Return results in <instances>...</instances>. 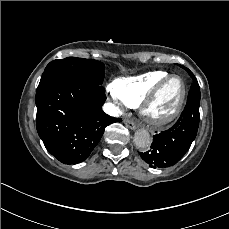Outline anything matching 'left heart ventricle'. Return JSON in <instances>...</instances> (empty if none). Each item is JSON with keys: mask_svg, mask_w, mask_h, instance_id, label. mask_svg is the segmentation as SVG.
Returning <instances> with one entry per match:
<instances>
[{"mask_svg": "<svg viewBox=\"0 0 229 229\" xmlns=\"http://www.w3.org/2000/svg\"><path fill=\"white\" fill-rule=\"evenodd\" d=\"M183 96L184 85L180 79H175L171 84L164 87L150 104V113L157 118L168 117L177 109Z\"/></svg>", "mask_w": 229, "mask_h": 229, "instance_id": "b2bd125f", "label": "left heart ventricle"}]
</instances>
